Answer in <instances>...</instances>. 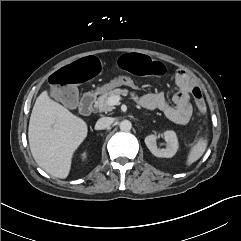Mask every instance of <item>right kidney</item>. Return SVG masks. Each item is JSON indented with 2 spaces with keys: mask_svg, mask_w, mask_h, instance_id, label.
<instances>
[{
  "mask_svg": "<svg viewBox=\"0 0 241 241\" xmlns=\"http://www.w3.org/2000/svg\"><path fill=\"white\" fill-rule=\"evenodd\" d=\"M81 156H82V159H83V160H85V159H86V157H87V153H86V152H84V153H82V155H81Z\"/></svg>",
  "mask_w": 241,
  "mask_h": 241,
  "instance_id": "right-kidney-1",
  "label": "right kidney"
}]
</instances>
